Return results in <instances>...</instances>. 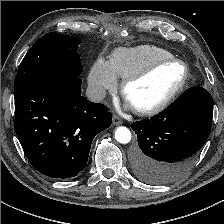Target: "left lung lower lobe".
I'll list each match as a JSON object with an SVG mask.
<instances>
[{"label":"left lung lower lobe","instance_id":"1","mask_svg":"<svg viewBox=\"0 0 224 224\" xmlns=\"http://www.w3.org/2000/svg\"><path fill=\"white\" fill-rule=\"evenodd\" d=\"M212 116V96L202 87H193L153 118L134 122L139 145L133 155L135 175L150 184L181 177L205 144Z\"/></svg>","mask_w":224,"mask_h":224}]
</instances>
